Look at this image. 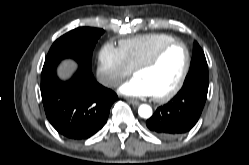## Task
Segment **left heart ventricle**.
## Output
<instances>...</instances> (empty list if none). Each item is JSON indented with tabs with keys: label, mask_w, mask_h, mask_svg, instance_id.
<instances>
[{
	"label": "left heart ventricle",
	"mask_w": 249,
	"mask_h": 165,
	"mask_svg": "<svg viewBox=\"0 0 249 165\" xmlns=\"http://www.w3.org/2000/svg\"><path fill=\"white\" fill-rule=\"evenodd\" d=\"M186 61L185 50L177 45L168 49L154 66L136 74L151 90L153 96L170 91L177 83Z\"/></svg>",
	"instance_id": "left-heart-ventricle-1"
}]
</instances>
